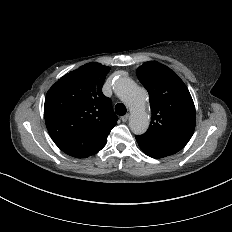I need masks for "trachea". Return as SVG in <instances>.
<instances>
[{"mask_svg": "<svg viewBox=\"0 0 232 232\" xmlns=\"http://www.w3.org/2000/svg\"><path fill=\"white\" fill-rule=\"evenodd\" d=\"M115 112H116L119 116H123V115L126 114L127 109H126V107H125L124 104L118 103V104H116V106H115Z\"/></svg>", "mask_w": 232, "mask_h": 232, "instance_id": "3493384b", "label": "trachea"}]
</instances>
